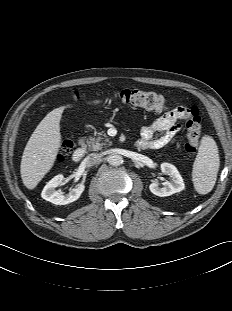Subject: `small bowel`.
<instances>
[{
	"label": "small bowel",
	"mask_w": 232,
	"mask_h": 311,
	"mask_svg": "<svg viewBox=\"0 0 232 311\" xmlns=\"http://www.w3.org/2000/svg\"><path fill=\"white\" fill-rule=\"evenodd\" d=\"M186 110L187 108L183 106L168 110L151 124L144 126L137 148L157 150L172 143L181 128V121L185 118ZM156 133H162V135L155 137Z\"/></svg>",
	"instance_id": "obj_1"
}]
</instances>
